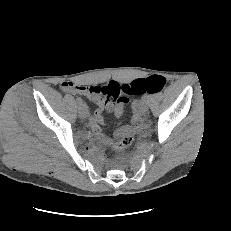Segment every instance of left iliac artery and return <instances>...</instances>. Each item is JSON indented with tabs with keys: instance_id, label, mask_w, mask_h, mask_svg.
Segmentation results:
<instances>
[{
	"instance_id": "1",
	"label": "left iliac artery",
	"mask_w": 231,
	"mask_h": 231,
	"mask_svg": "<svg viewBox=\"0 0 231 231\" xmlns=\"http://www.w3.org/2000/svg\"><path fill=\"white\" fill-rule=\"evenodd\" d=\"M149 97H150L149 95H144V96L142 97V99H143V100H148Z\"/></svg>"
}]
</instances>
